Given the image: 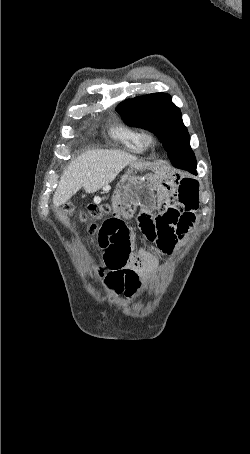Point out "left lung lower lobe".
<instances>
[{
	"instance_id": "0a47b994",
	"label": "left lung lower lobe",
	"mask_w": 250,
	"mask_h": 454,
	"mask_svg": "<svg viewBox=\"0 0 250 454\" xmlns=\"http://www.w3.org/2000/svg\"><path fill=\"white\" fill-rule=\"evenodd\" d=\"M173 166L187 170L193 174H196V159L194 154L185 153L172 155L169 157Z\"/></svg>"
}]
</instances>
